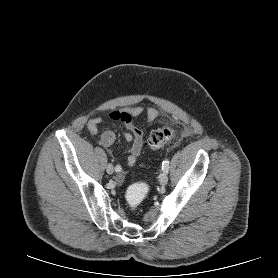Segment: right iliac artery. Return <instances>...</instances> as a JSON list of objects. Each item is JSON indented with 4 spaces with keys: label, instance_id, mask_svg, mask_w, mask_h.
<instances>
[{
    "label": "right iliac artery",
    "instance_id": "right-iliac-artery-1",
    "mask_svg": "<svg viewBox=\"0 0 278 278\" xmlns=\"http://www.w3.org/2000/svg\"><path fill=\"white\" fill-rule=\"evenodd\" d=\"M121 169H122V168H121V166H119V165H117V166L115 167V171H116V172H120Z\"/></svg>",
    "mask_w": 278,
    "mask_h": 278
}]
</instances>
